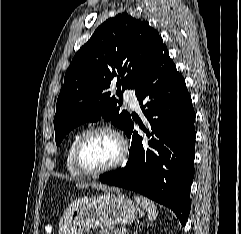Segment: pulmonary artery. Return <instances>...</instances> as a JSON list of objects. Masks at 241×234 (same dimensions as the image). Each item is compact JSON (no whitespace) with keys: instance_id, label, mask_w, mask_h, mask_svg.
Wrapping results in <instances>:
<instances>
[{"instance_id":"pulmonary-artery-1","label":"pulmonary artery","mask_w":241,"mask_h":234,"mask_svg":"<svg viewBox=\"0 0 241 234\" xmlns=\"http://www.w3.org/2000/svg\"><path fill=\"white\" fill-rule=\"evenodd\" d=\"M124 97L126 102L132 109H137L139 107L138 100L133 90L127 89L124 92Z\"/></svg>"}]
</instances>
